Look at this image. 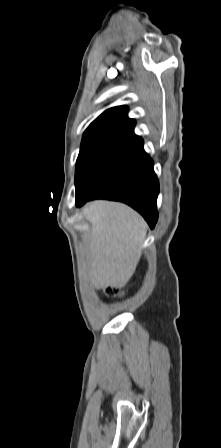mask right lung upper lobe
<instances>
[{"instance_id":"obj_1","label":"right lung upper lobe","mask_w":221,"mask_h":448,"mask_svg":"<svg viewBox=\"0 0 221 448\" xmlns=\"http://www.w3.org/2000/svg\"><path fill=\"white\" fill-rule=\"evenodd\" d=\"M127 113L126 106L113 107L103 112L84 132L81 148H116L131 139L135 135V120L128 118Z\"/></svg>"}]
</instances>
